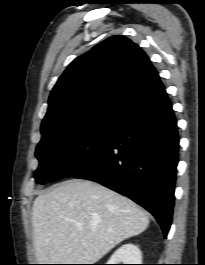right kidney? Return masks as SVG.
I'll return each instance as SVG.
<instances>
[{"label": "right kidney", "instance_id": "1", "mask_svg": "<svg viewBox=\"0 0 205 265\" xmlns=\"http://www.w3.org/2000/svg\"><path fill=\"white\" fill-rule=\"evenodd\" d=\"M141 261L140 249L134 244H125L114 252L107 264H141Z\"/></svg>", "mask_w": 205, "mask_h": 265}]
</instances>
